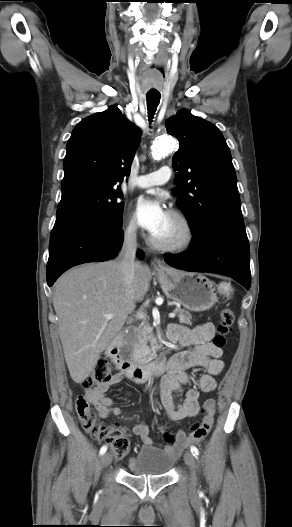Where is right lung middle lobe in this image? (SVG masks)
<instances>
[{
    "label": "right lung middle lobe",
    "instance_id": "dd1d6c3e",
    "mask_svg": "<svg viewBox=\"0 0 292 527\" xmlns=\"http://www.w3.org/2000/svg\"><path fill=\"white\" fill-rule=\"evenodd\" d=\"M62 197L57 214L79 212L94 216L110 225L121 227L124 203L119 187L77 178L62 183Z\"/></svg>",
    "mask_w": 292,
    "mask_h": 527
}]
</instances>
